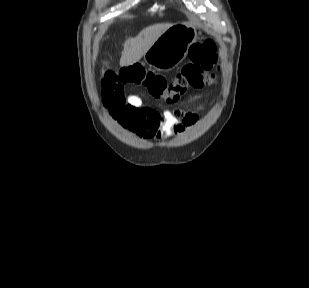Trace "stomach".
Segmentation results:
<instances>
[{
    "instance_id": "0dacf381",
    "label": "stomach",
    "mask_w": 309,
    "mask_h": 288,
    "mask_svg": "<svg viewBox=\"0 0 309 288\" xmlns=\"http://www.w3.org/2000/svg\"><path fill=\"white\" fill-rule=\"evenodd\" d=\"M196 37V29L192 25L174 24L151 45L144 54V60L156 70H171L186 57Z\"/></svg>"
}]
</instances>
